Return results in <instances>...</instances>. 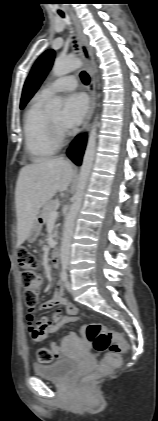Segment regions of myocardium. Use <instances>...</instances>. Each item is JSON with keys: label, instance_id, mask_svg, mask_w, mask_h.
Here are the masks:
<instances>
[{"label": "myocardium", "instance_id": "f54148a6", "mask_svg": "<svg viewBox=\"0 0 158 421\" xmlns=\"http://www.w3.org/2000/svg\"><path fill=\"white\" fill-rule=\"evenodd\" d=\"M48 129L51 140L60 146L66 138V132L60 125L54 122L50 115H48Z\"/></svg>", "mask_w": 158, "mask_h": 421}]
</instances>
